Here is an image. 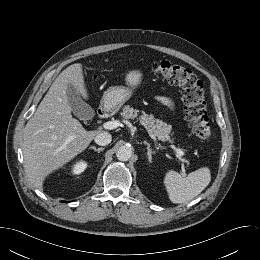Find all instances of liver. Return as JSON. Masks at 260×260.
Instances as JSON below:
<instances>
[{
	"mask_svg": "<svg viewBox=\"0 0 260 260\" xmlns=\"http://www.w3.org/2000/svg\"><path fill=\"white\" fill-rule=\"evenodd\" d=\"M69 84L88 99L82 64H72L52 83L23 130L25 170L30 183L39 190L47 175L84 151L99 133L85 130L71 115Z\"/></svg>",
	"mask_w": 260,
	"mask_h": 260,
	"instance_id": "obj_1",
	"label": "liver"
}]
</instances>
